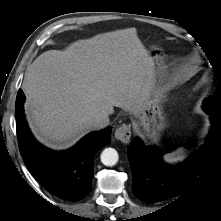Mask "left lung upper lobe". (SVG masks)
Masks as SVG:
<instances>
[{
  "label": "left lung upper lobe",
  "mask_w": 221,
  "mask_h": 221,
  "mask_svg": "<svg viewBox=\"0 0 221 221\" xmlns=\"http://www.w3.org/2000/svg\"><path fill=\"white\" fill-rule=\"evenodd\" d=\"M203 104L204 107L210 112H221V93L216 91L213 96L205 99Z\"/></svg>",
  "instance_id": "5c2ea615"
}]
</instances>
